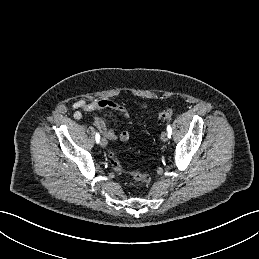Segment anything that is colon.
Instances as JSON below:
<instances>
[{
    "instance_id": "1",
    "label": "colon",
    "mask_w": 259,
    "mask_h": 259,
    "mask_svg": "<svg viewBox=\"0 0 259 259\" xmlns=\"http://www.w3.org/2000/svg\"><path fill=\"white\" fill-rule=\"evenodd\" d=\"M173 116V110L170 108H166V109H162L160 111L157 112L156 114V118L159 122H166L168 120H170ZM109 159H110V163L112 168L114 169V171L119 174V175H129L132 180L135 183V187L137 189L142 188L143 186L147 185L150 181V178L147 174L139 172V171H128V170H124L120 164V162L118 161L117 157L115 156V154L110 151L109 154Z\"/></svg>"
}]
</instances>
